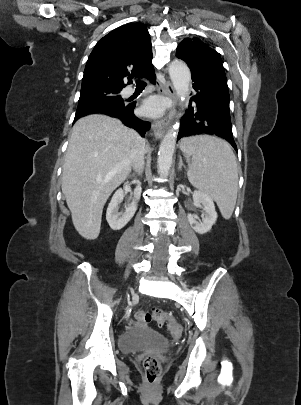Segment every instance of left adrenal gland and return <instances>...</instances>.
Masks as SVG:
<instances>
[{
    "label": "left adrenal gland",
    "mask_w": 301,
    "mask_h": 405,
    "mask_svg": "<svg viewBox=\"0 0 301 405\" xmlns=\"http://www.w3.org/2000/svg\"><path fill=\"white\" fill-rule=\"evenodd\" d=\"M182 167L185 168V166L183 165V162H182V158L180 157L178 170L179 171L182 170Z\"/></svg>",
    "instance_id": "a2214340"
}]
</instances>
